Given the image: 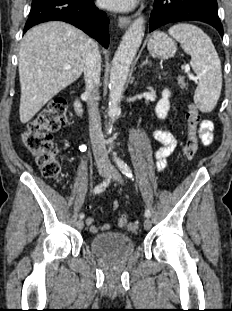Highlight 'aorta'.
Here are the masks:
<instances>
[{"mask_svg":"<svg viewBox=\"0 0 232 311\" xmlns=\"http://www.w3.org/2000/svg\"><path fill=\"white\" fill-rule=\"evenodd\" d=\"M145 31V20L142 16L132 22L114 55L109 83L108 115L114 117L121 112L120 101L128 77L130 65L141 45ZM112 128L108 126L107 132Z\"/></svg>","mask_w":232,"mask_h":311,"instance_id":"aorta-1","label":"aorta"}]
</instances>
